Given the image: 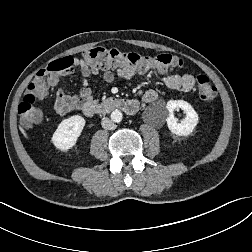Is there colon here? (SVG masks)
Here are the masks:
<instances>
[{
  "label": "colon",
  "mask_w": 252,
  "mask_h": 252,
  "mask_svg": "<svg viewBox=\"0 0 252 252\" xmlns=\"http://www.w3.org/2000/svg\"><path fill=\"white\" fill-rule=\"evenodd\" d=\"M87 63L99 68H120L127 71L145 72L148 70L169 71L184 67V62L169 54L154 57L142 56L134 52H123L117 48L94 47L84 54ZM73 65L72 57H64L51 62L40 70L28 85L27 92L18 106V113L22 125L31 127L42 120V109L36 105L37 100L43 98L48 88L54 85L59 77ZM199 97L206 103H211L217 96V90L205 75L196 77Z\"/></svg>",
  "instance_id": "5ec220e1"
}]
</instances>
